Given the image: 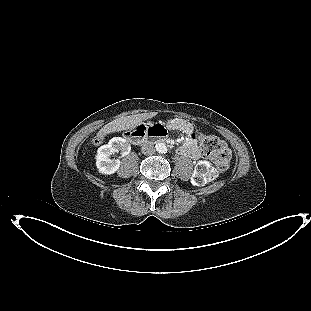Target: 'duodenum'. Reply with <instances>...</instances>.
<instances>
[{
	"mask_svg": "<svg viewBox=\"0 0 311 311\" xmlns=\"http://www.w3.org/2000/svg\"><path fill=\"white\" fill-rule=\"evenodd\" d=\"M157 138L158 141H165V133L163 129H149L148 127H141L129 133V140L134 145H140L149 140L150 137Z\"/></svg>",
	"mask_w": 311,
	"mask_h": 311,
	"instance_id": "duodenum-1",
	"label": "duodenum"
}]
</instances>
